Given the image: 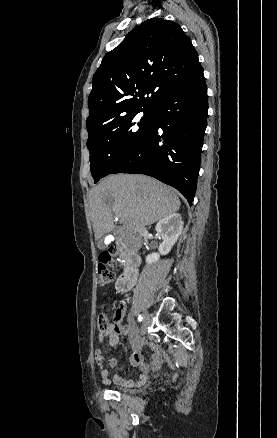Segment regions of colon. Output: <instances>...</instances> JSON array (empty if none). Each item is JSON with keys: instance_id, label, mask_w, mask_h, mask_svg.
<instances>
[{"instance_id": "1", "label": "colon", "mask_w": 277, "mask_h": 438, "mask_svg": "<svg viewBox=\"0 0 277 438\" xmlns=\"http://www.w3.org/2000/svg\"><path fill=\"white\" fill-rule=\"evenodd\" d=\"M117 256H118V249L115 247H110L106 249V251L99 256V263L97 264L96 267L97 270L96 279H97V283L100 286L110 285L114 282L115 273L113 266L116 263ZM113 314L115 315L113 318L115 320H119L120 312L118 308H116ZM110 318H111L110 314L106 313L103 319H99L94 323V326L97 329H99L101 334L113 333L114 331L113 327L116 325V322L114 320H110Z\"/></svg>"}]
</instances>
